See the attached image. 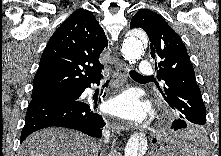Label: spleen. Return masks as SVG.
Instances as JSON below:
<instances>
[{
	"label": "spleen",
	"instance_id": "obj_1",
	"mask_svg": "<svg viewBox=\"0 0 221 156\" xmlns=\"http://www.w3.org/2000/svg\"><path fill=\"white\" fill-rule=\"evenodd\" d=\"M172 142L176 146H178L186 156H203L204 155V152L202 150H199L196 147L190 144H187L183 141L172 140Z\"/></svg>",
	"mask_w": 221,
	"mask_h": 156
}]
</instances>
